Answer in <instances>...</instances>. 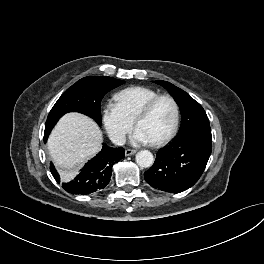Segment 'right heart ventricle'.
Returning a JSON list of instances; mask_svg holds the SVG:
<instances>
[{"label":"right heart ventricle","instance_id":"obj_1","mask_svg":"<svg viewBox=\"0 0 264 264\" xmlns=\"http://www.w3.org/2000/svg\"><path fill=\"white\" fill-rule=\"evenodd\" d=\"M157 95H159V92L152 88L134 86L120 90L115 94L114 99L123 113L134 121L142 107Z\"/></svg>","mask_w":264,"mask_h":264}]
</instances>
